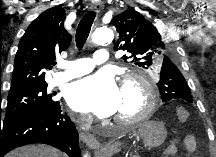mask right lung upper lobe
Returning <instances> with one entry per match:
<instances>
[{"instance_id":"1","label":"right lung upper lobe","mask_w":216,"mask_h":157,"mask_svg":"<svg viewBox=\"0 0 216 157\" xmlns=\"http://www.w3.org/2000/svg\"><path fill=\"white\" fill-rule=\"evenodd\" d=\"M65 17V10L55 6L28 26L18 45L10 92L47 85L44 70L55 64V53L71 43L72 37L64 28Z\"/></svg>"}]
</instances>
